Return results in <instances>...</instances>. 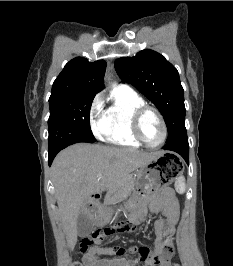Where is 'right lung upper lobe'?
Returning <instances> with one entry per match:
<instances>
[{"mask_svg": "<svg viewBox=\"0 0 233 266\" xmlns=\"http://www.w3.org/2000/svg\"><path fill=\"white\" fill-rule=\"evenodd\" d=\"M106 62H89L82 57L69 61L54 81L49 99L79 94L95 95L104 88Z\"/></svg>", "mask_w": 233, "mask_h": 266, "instance_id": "cb5924a9", "label": "right lung upper lobe"}]
</instances>
